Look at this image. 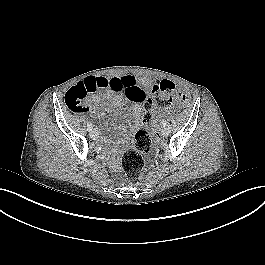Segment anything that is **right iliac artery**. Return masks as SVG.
Returning <instances> with one entry per match:
<instances>
[{
    "label": "right iliac artery",
    "instance_id": "82829eb1",
    "mask_svg": "<svg viewBox=\"0 0 265 265\" xmlns=\"http://www.w3.org/2000/svg\"><path fill=\"white\" fill-rule=\"evenodd\" d=\"M92 129H93V125L91 123H89L87 125V130L90 132V131H92Z\"/></svg>",
    "mask_w": 265,
    "mask_h": 265
}]
</instances>
